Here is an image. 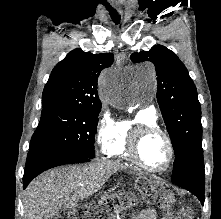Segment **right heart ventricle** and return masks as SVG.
<instances>
[{"label": "right heart ventricle", "mask_w": 221, "mask_h": 219, "mask_svg": "<svg viewBox=\"0 0 221 219\" xmlns=\"http://www.w3.org/2000/svg\"><path fill=\"white\" fill-rule=\"evenodd\" d=\"M157 116L147 110H140L133 118L122 119L116 122L113 137L106 154L127 162H131V158L127 153L129 133L137 124L156 125ZM133 162V161H132Z\"/></svg>", "instance_id": "obj_1"}]
</instances>
